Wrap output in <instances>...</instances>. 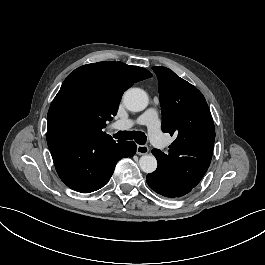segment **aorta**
<instances>
[{
    "instance_id": "aorta-1",
    "label": "aorta",
    "mask_w": 265,
    "mask_h": 265,
    "mask_svg": "<svg viewBox=\"0 0 265 265\" xmlns=\"http://www.w3.org/2000/svg\"><path fill=\"white\" fill-rule=\"evenodd\" d=\"M125 107L132 112H139L148 106V95L140 88H129L122 97ZM140 168L145 173H152L157 168V160L153 155H143L139 160Z\"/></svg>"
}]
</instances>
